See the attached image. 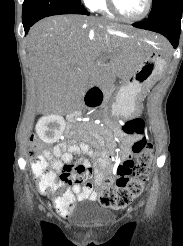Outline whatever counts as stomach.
Listing matches in <instances>:
<instances>
[{
    "instance_id": "0dacf381",
    "label": "stomach",
    "mask_w": 183,
    "mask_h": 246,
    "mask_svg": "<svg viewBox=\"0 0 183 246\" xmlns=\"http://www.w3.org/2000/svg\"><path fill=\"white\" fill-rule=\"evenodd\" d=\"M139 59L112 103V114L133 117L140 113L142 100L153 82L162 75L166 61L151 42H131Z\"/></svg>"
}]
</instances>
